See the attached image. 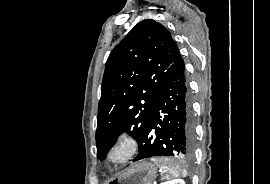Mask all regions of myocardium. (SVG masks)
Here are the masks:
<instances>
[{"label": "myocardium", "instance_id": "f54148a6", "mask_svg": "<svg viewBox=\"0 0 270 184\" xmlns=\"http://www.w3.org/2000/svg\"><path fill=\"white\" fill-rule=\"evenodd\" d=\"M139 149L137 137L129 132H121L108 148L105 160L112 167L125 165L132 160Z\"/></svg>", "mask_w": 270, "mask_h": 184}]
</instances>
